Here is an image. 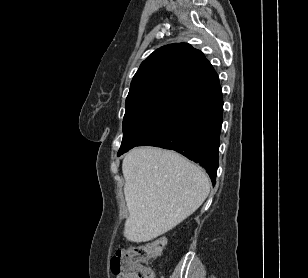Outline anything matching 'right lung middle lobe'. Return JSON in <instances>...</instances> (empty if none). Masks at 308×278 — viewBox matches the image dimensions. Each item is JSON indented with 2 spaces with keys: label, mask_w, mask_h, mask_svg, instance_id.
Here are the masks:
<instances>
[{
  "label": "right lung middle lobe",
  "mask_w": 308,
  "mask_h": 278,
  "mask_svg": "<svg viewBox=\"0 0 308 278\" xmlns=\"http://www.w3.org/2000/svg\"><path fill=\"white\" fill-rule=\"evenodd\" d=\"M177 113L174 111H152L125 118L123 120V139L118 156L158 132Z\"/></svg>",
  "instance_id": "obj_1"
}]
</instances>
